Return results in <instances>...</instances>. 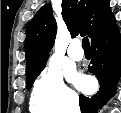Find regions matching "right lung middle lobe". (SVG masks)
Instances as JSON below:
<instances>
[{
    "mask_svg": "<svg viewBox=\"0 0 121 113\" xmlns=\"http://www.w3.org/2000/svg\"><path fill=\"white\" fill-rule=\"evenodd\" d=\"M46 65V60H44L39 66L36 68L29 70L26 72V88L29 90L35 81V78L40 74V72L44 69Z\"/></svg>",
    "mask_w": 121,
    "mask_h": 113,
    "instance_id": "dd1d6c3e",
    "label": "right lung middle lobe"
}]
</instances>
